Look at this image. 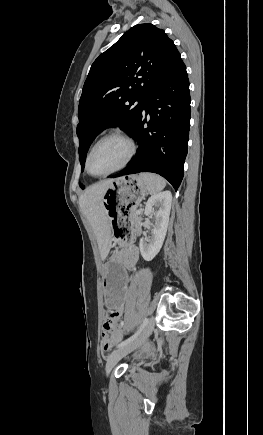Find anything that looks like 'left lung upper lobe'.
Masks as SVG:
<instances>
[{"instance_id": "1", "label": "left lung upper lobe", "mask_w": 263, "mask_h": 435, "mask_svg": "<svg viewBox=\"0 0 263 435\" xmlns=\"http://www.w3.org/2000/svg\"><path fill=\"white\" fill-rule=\"evenodd\" d=\"M180 60L164 30L145 23L133 26L94 61L78 109L82 171L86 153L102 130L119 125L132 134L146 99Z\"/></svg>"}]
</instances>
